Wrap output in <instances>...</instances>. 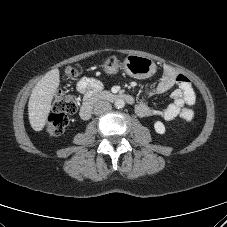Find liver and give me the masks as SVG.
Segmentation results:
<instances>
[{
    "label": "liver",
    "instance_id": "obj_1",
    "mask_svg": "<svg viewBox=\"0 0 227 227\" xmlns=\"http://www.w3.org/2000/svg\"><path fill=\"white\" fill-rule=\"evenodd\" d=\"M59 84V70L52 69L33 88L28 103L29 121L33 130L39 132L44 128Z\"/></svg>",
    "mask_w": 227,
    "mask_h": 227
}]
</instances>
